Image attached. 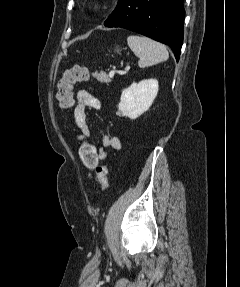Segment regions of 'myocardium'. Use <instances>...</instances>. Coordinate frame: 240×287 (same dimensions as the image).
Returning a JSON list of instances; mask_svg holds the SVG:
<instances>
[{
    "instance_id": "myocardium-1",
    "label": "myocardium",
    "mask_w": 240,
    "mask_h": 287,
    "mask_svg": "<svg viewBox=\"0 0 240 287\" xmlns=\"http://www.w3.org/2000/svg\"><path fill=\"white\" fill-rule=\"evenodd\" d=\"M88 9L90 13H93V14L99 13L102 9V2L100 0L91 1Z\"/></svg>"
}]
</instances>
